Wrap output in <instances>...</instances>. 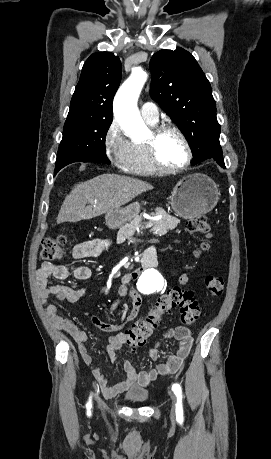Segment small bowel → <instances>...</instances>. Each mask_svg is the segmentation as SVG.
Returning a JSON list of instances; mask_svg holds the SVG:
<instances>
[{
    "label": "small bowel",
    "instance_id": "c3829d8e",
    "mask_svg": "<svg viewBox=\"0 0 271 459\" xmlns=\"http://www.w3.org/2000/svg\"><path fill=\"white\" fill-rule=\"evenodd\" d=\"M113 247V241L110 239H93L74 246L72 256L75 259H85L97 257L108 252ZM156 264L154 255L146 253L143 257V268H151ZM72 275L77 280H87L91 277V270L86 266H75L72 270L62 264L45 262L36 274V284L41 301L45 304V314L49 323L56 329L68 333L77 343L78 351L82 361L90 367L95 380L99 384L102 395L107 398H113L117 395L132 389V388H147L152 382L158 378L167 377L176 373L183 362L188 357L193 346V336L189 328L185 326H175L168 329L164 333L165 339H175L179 342L177 351L170 355L166 361L159 363L156 367L150 370H141L128 361H122L126 377L114 384H109L107 376L98 368L94 367L93 360L86 348L87 334L79 329L71 320L62 316L57 307L46 304V300L51 295L55 296L59 301L74 303L85 296V288H72L63 284L49 283L50 279L58 281L66 280ZM134 279V274H127L122 279V285L119 288V294L124 296L127 293L128 286ZM180 284L185 285L188 282V277L185 274L178 276ZM141 306V299L136 297L132 304V308L127 317V322L136 319ZM92 323L105 332L115 333L110 337L109 344L106 348L109 358L116 362L119 360L118 351L126 343V335L121 332L124 323H109L101 320L93 315ZM152 360H157L160 356V342H156L153 348L148 352Z\"/></svg>",
    "mask_w": 271,
    "mask_h": 459
}]
</instances>
